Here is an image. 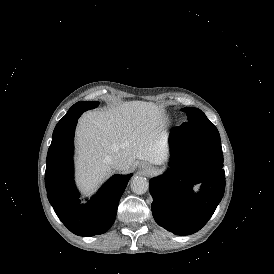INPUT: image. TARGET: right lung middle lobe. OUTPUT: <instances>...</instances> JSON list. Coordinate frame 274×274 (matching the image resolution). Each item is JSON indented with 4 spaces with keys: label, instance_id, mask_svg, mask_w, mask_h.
<instances>
[{
    "label": "right lung middle lobe",
    "instance_id": "right-lung-middle-lobe-1",
    "mask_svg": "<svg viewBox=\"0 0 274 274\" xmlns=\"http://www.w3.org/2000/svg\"><path fill=\"white\" fill-rule=\"evenodd\" d=\"M99 106V102L97 101H87V102H78L76 104L73 105V107H81L84 109V111H87L89 109L92 108H96ZM63 128V126L61 125L60 121L58 122V124L56 125L53 135L57 134L61 129Z\"/></svg>",
    "mask_w": 274,
    "mask_h": 274
}]
</instances>
